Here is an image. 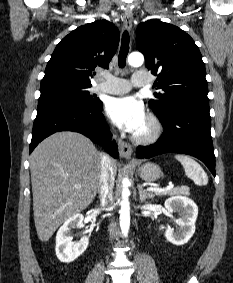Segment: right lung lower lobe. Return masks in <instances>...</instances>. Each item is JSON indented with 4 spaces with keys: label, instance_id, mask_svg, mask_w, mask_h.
Here are the masks:
<instances>
[{
    "label": "right lung lower lobe",
    "instance_id": "obj_1",
    "mask_svg": "<svg viewBox=\"0 0 233 283\" xmlns=\"http://www.w3.org/2000/svg\"><path fill=\"white\" fill-rule=\"evenodd\" d=\"M103 104L95 107L64 101H46L38 104L37 116L33 124L30 153L49 135L59 131L79 132L93 142L106 148V151L118 158V148L115 142L110 144V131L101 113Z\"/></svg>",
    "mask_w": 233,
    "mask_h": 283
}]
</instances>
